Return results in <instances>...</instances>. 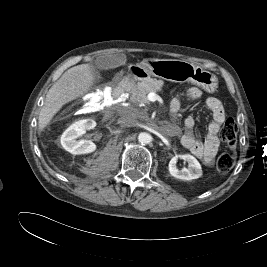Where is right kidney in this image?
<instances>
[{
    "mask_svg": "<svg viewBox=\"0 0 267 267\" xmlns=\"http://www.w3.org/2000/svg\"><path fill=\"white\" fill-rule=\"evenodd\" d=\"M96 122L92 119H83L73 123L61 136L62 147L74 155L88 154L96 150V145L90 140H77L86 130L93 129Z\"/></svg>",
    "mask_w": 267,
    "mask_h": 267,
    "instance_id": "right-kidney-1",
    "label": "right kidney"
}]
</instances>
